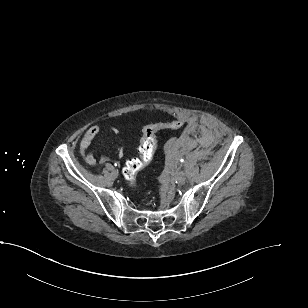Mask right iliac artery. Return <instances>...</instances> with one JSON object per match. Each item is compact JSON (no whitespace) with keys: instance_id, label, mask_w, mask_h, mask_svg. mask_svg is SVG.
<instances>
[{"instance_id":"82829eb1","label":"right iliac artery","mask_w":308,"mask_h":308,"mask_svg":"<svg viewBox=\"0 0 308 308\" xmlns=\"http://www.w3.org/2000/svg\"><path fill=\"white\" fill-rule=\"evenodd\" d=\"M114 165H115V166H117L118 164H117V163H115Z\"/></svg>"}]
</instances>
